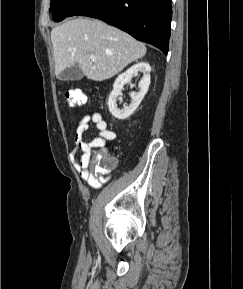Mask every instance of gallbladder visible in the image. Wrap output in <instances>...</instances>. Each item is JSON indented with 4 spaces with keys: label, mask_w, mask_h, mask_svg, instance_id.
I'll return each mask as SVG.
<instances>
[{
    "label": "gallbladder",
    "mask_w": 243,
    "mask_h": 289,
    "mask_svg": "<svg viewBox=\"0 0 243 289\" xmlns=\"http://www.w3.org/2000/svg\"><path fill=\"white\" fill-rule=\"evenodd\" d=\"M84 77V74L82 70L79 67H70L65 70H63L59 76L58 79L61 81H78L81 80Z\"/></svg>",
    "instance_id": "bac80fb5"
}]
</instances>
